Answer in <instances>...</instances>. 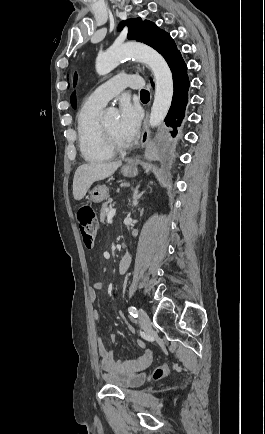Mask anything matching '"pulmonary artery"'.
<instances>
[{
  "instance_id": "pulmonary-artery-1",
  "label": "pulmonary artery",
  "mask_w": 265,
  "mask_h": 434,
  "mask_svg": "<svg viewBox=\"0 0 265 434\" xmlns=\"http://www.w3.org/2000/svg\"><path fill=\"white\" fill-rule=\"evenodd\" d=\"M145 77L142 75H130L118 74L108 81H104L99 87H95L94 91H90L88 95L89 103H98L105 105L107 100L111 96H115L116 93L126 89V84H142L145 82Z\"/></svg>"
}]
</instances>
